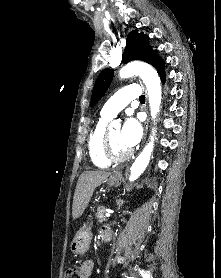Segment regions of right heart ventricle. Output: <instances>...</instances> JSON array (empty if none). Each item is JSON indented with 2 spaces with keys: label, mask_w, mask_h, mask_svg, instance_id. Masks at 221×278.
Here are the masks:
<instances>
[{
  "label": "right heart ventricle",
  "mask_w": 221,
  "mask_h": 278,
  "mask_svg": "<svg viewBox=\"0 0 221 278\" xmlns=\"http://www.w3.org/2000/svg\"><path fill=\"white\" fill-rule=\"evenodd\" d=\"M108 118L101 115L88 136L87 146L92 163L100 168H107L110 162L102 153L103 137L106 132Z\"/></svg>",
  "instance_id": "right-heart-ventricle-1"
}]
</instances>
